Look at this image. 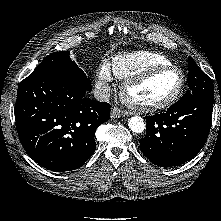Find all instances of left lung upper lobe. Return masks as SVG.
Masks as SVG:
<instances>
[{
  "label": "left lung upper lobe",
  "mask_w": 221,
  "mask_h": 221,
  "mask_svg": "<svg viewBox=\"0 0 221 221\" xmlns=\"http://www.w3.org/2000/svg\"><path fill=\"white\" fill-rule=\"evenodd\" d=\"M188 67V86L190 89L180 100L194 95L214 98V87L211 79L197 66L191 57L188 59Z\"/></svg>",
  "instance_id": "obj_1"
}]
</instances>
